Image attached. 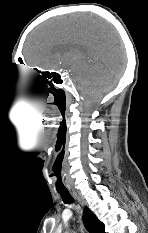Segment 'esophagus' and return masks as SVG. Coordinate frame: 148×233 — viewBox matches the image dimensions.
I'll return each mask as SVG.
<instances>
[{
    "label": "esophagus",
    "mask_w": 148,
    "mask_h": 233,
    "mask_svg": "<svg viewBox=\"0 0 148 233\" xmlns=\"http://www.w3.org/2000/svg\"><path fill=\"white\" fill-rule=\"evenodd\" d=\"M72 194H73V196H74L76 199H78V200L80 201V198H79L78 194H77L75 191L72 192Z\"/></svg>",
    "instance_id": "34e87169"
}]
</instances>
